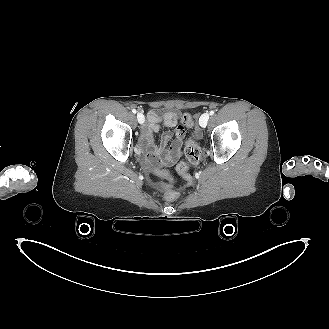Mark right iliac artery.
Segmentation results:
<instances>
[{"instance_id":"obj_1","label":"right iliac artery","mask_w":329,"mask_h":329,"mask_svg":"<svg viewBox=\"0 0 329 329\" xmlns=\"http://www.w3.org/2000/svg\"><path fill=\"white\" fill-rule=\"evenodd\" d=\"M132 112H133L134 114H136V113H137V110H136V109H132Z\"/></svg>"}]
</instances>
